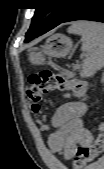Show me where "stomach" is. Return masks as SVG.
I'll use <instances>...</instances> for the list:
<instances>
[{
	"label": "stomach",
	"mask_w": 104,
	"mask_h": 169,
	"mask_svg": "<svg viewBox=\"0 0 104 169\" xmlns=\"http://www.w3.org/2000/svg\"><path fill=\"white\" fill-rule=\"evenodd\" d=\"M73 48L72 40L63 34H54L49 37L39 50H33L29 54V60L33 64H42L49 57H64Z\"/></svg>",
	"instance_id": "obj_1"
}]
</instances>
